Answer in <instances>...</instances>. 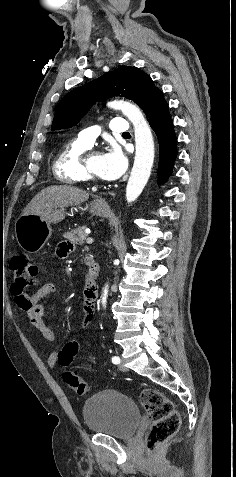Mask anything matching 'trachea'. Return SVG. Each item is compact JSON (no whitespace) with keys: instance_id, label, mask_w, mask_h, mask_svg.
I'll use <instances>...</instances> for the list:
<instances>
[{"instance_id":"trachea-1","label":"trachea","mask_w":236,"mask_h":477,"mask_svg":"<svg viewBox=\"0 0 236 477\" xmlns=\"http://www.w3.org/2000/svg\"><path fill=\"white\" fill-rule=\"evenodd\" d=\"M123 134L125 135V134H129V133H128V132H126V133H123Z\"/></svg>"}]
</instances>
